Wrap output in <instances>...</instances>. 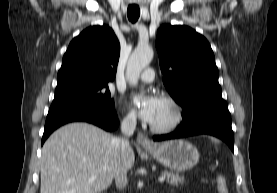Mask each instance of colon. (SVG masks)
Here are the masks:
<instances>
[{"instance_id": "5ec220e1", "label": "colon", "mask_w": 277, "mask_h": 193, "mask_svg": "<svg viewBox=\"0 0 277 193\" xmlns=\"http://www.w3.org/2000/svg\"><path fill=\"white\" fill-rule=\"evenodd\" d=\"M216 188L218 193H229L228 183L223 175L216 177Z\"/></svg>"}]
</instances>
